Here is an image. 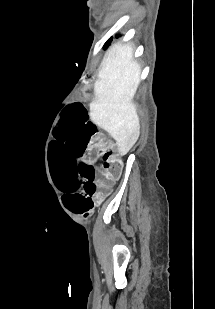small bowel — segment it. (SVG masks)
<instances>
[{
	"instance_id": "obj_1",
	"label": "small bowel",
	"mask_w": 215,
	"mask_h": 309,
	"mask_svg": "<svg viewBox=\"0 0 215 309\" xmlns=\"http://www.w3.org/2000/svg\"><path fill=\"white\" fill-rule=\"evenodd\" d=\"M101 190L97 193L96 198L100 202L110 193V184H99Z\"/></svg>"
}]
</instances>
